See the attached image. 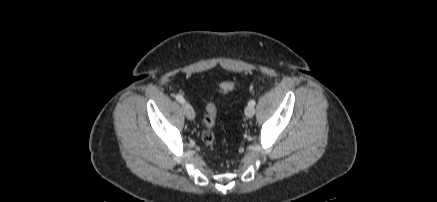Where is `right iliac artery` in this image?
<instances>
[{
	"mask_svg": "<svg viewBox=\"0 0 437 202\" xmlns=\"http://www.w3.org/2000/svg\"><path fill=\"white\" fill-rule=\"evenodd\" d=\"M176 100L180 103H185V99L181 95H176Z\"/></svg>",
	"mask_w": 437,
	"mask_h": 202,
	"instance_id": "right-iliac-artery-1",
	"label": "right iliac artery"
}]
</instances>
